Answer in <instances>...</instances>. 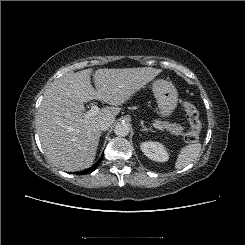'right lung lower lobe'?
Listing matches in <instances>:
<instances>
[{
	"mask_svg": "<svg viewBox=\"0 0 245 245\" xmlns=\"http://www.w3.org/2000/svg\"><path fill=\"white\" fill-rule=\"evenodd\" d=\"M101 159H102V157H101ZM101 159L97 162V164H95V165H94L92 168H90L89 170H86V171H83V172H79V173H77V174L84 175V174L93 172V171L98 167V165L100 164Z\"/></svg>",
	"mask_w": 245,
	"mask_h": 245,
	"instance_id": "98d812e1",
	"label": "right lung lower lobe"
}]
</instances>
